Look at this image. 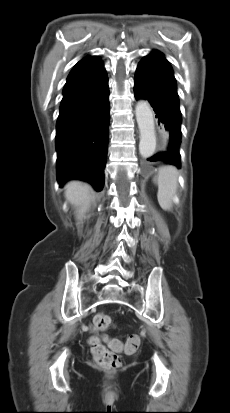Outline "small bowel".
Segmentation results:
<instances>
[{"mask_svg":"<svg viewBox=\"0 0 230 413\" xmlns=\"http://www.w3.org/2000/svg\"><path fill=\"white\" fill-rule=\"evenodd\" d=\"M104 340H105L106 342H108L113 348H114V343H116V344L119 345L118 341H116V340H111V339H109V338L106 337V336H104Z\"/></svg>","mask_w":230,"mask_h":413,"instance_id":"1","label":"small bowel"}]
</instances>
